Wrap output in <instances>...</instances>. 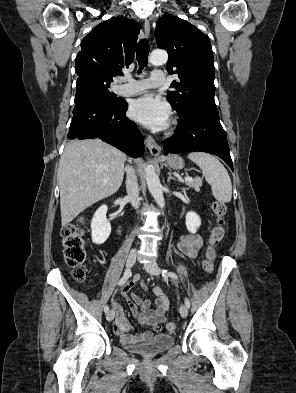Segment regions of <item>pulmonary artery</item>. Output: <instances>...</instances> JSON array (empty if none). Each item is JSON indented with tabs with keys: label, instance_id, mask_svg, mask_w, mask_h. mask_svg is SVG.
Masks as SVG:
<instances>
[{
	"label": "pulmonary artery",
	"instance_id": "pulmonary-artery-1",
	"mask_svg": "<svg viewBox=\"0 0 296 393\" xmlns=\"http://www.w3.org/2000/svg\"><path fill=\"white\" fill-rule=\"evenodd\" d=\"M165 81L166 77L162 71H154L149 78L140 80L125 75L116 91L121 95H135L146 89L161 86Z\"/></svg>",
	"mask_w": 296,
	"mask_h": 393
}]
</instances>
